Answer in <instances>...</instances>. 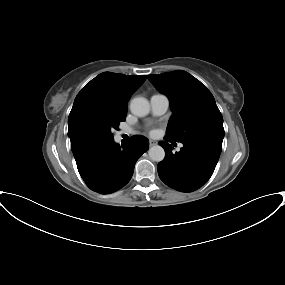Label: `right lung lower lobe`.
Wrapping results in <instances>:
<instances>
[{
	"label": "right lung lower lobe",
	"instance_id": "obj_1",
	"mask_svg": "<svg viewBox=\"0 0 285 285\" xmlns=\"http://www.w3.org/2000/svg\"><path fill=\"white\" fill-rule=\"evenodd\" d=\"M148 148V139L135 135L123 147L113 140L95 141L82 143L72 151L86 185L100 194H109L130 181L136 161Z\"/></svg>",
	"mask_w": 285,
	"mask_h": 285
}]
</instances>
